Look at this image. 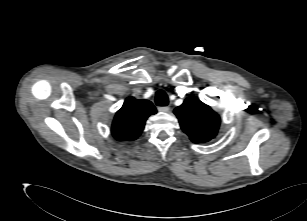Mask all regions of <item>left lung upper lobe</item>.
Masks as SVG:
<instances>
[{"instance_id":"left-lung-upper-lobe-1","label":"left lung upper lobe","mask_w":307,"mask_h":221,"mask_svg":"<svg viewBox=\"0 0 307 221\" xmlns=\"http://www.w3.org/2000/svg\"><path fill=\"white\" fill-rule=\"evenodd\" d=\"M182 130L194 143H205L215 138L219 126L220 117L212 108L200 100L189 97L184 103L175 108Z\"/></svg>"}]
</instances>
